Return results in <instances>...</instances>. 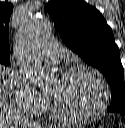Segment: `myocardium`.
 I'll return each instance as SVG.
<instances>
[{
  "label": "myocardium",
  "mask_w": 125,
  "mask_h": 128,
  "mask_svg": "<svg viewBox=\"0 0 125 128\" xmlns=\"http://www.w3.org/2000/svg\"><path fill=\"white\" fill-rule=\"evenodd\" d=\"M79 72H87L97 78V80L99 81L101 85L102 99H101L99 106L91 112L70 113L64 110L59 104V102L52 96L51 102H52L53 109L56 115L65 121L74 122V123L88 122V121L98 118L107 109L108 104H109V98H110V91H109V85H108L107 80L105 79V77L100 71H98L97 69L93 67H90L84 64L75 65V66H72L66 69L63 72L62 77H67V76H70L72 74L79 73Z\"/></svg>",
  "instance_id": "obj_1"
}]
</instances>
